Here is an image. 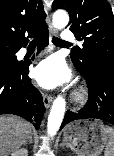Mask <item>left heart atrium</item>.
Listing matches in <instances>:
<instances>
[{
    "instance_id": "obj_1",
    "label": "left heart atrium",
    "mask_w": 114,
    "mask_h": 156,
    "mask_svg": "<svg viewBox=\"0 0 114 156\" xmlns=\"http://www.w3.org/2000/svg\"><path fill=\"white\" fill-rule=\"evenodd\" d=\"M33 75L41 87L51 89L67 81L69 71L61 58L51 56L35 67Z\"/></svg>"
}]
</instances>
